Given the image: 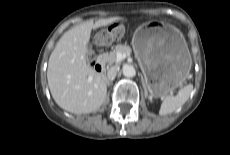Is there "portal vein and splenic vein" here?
I'll return each instance as SVG.
<instances>
[{"mask_svg": "<svg viewBox=\"0 0 230 155\" xmlns=\"http://www.w3.org/2000/svg\"><path fill=\"white\" fill-rule=\"evenodd\" d=\"M124 58H126V55L123 53H119L118 55H117V59L120 61V60H122V59H124Z\"/></svg>", "mask_w": 230, "mask_h": 155, "instance_id": "portal-vein-and-splenic-vein-1", "label": "portal vein and splenic vein"}]
</instances>
